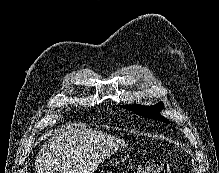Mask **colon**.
Returning a JSON list of instances; mask_svg holds the SVG:
<instances>
[{"instance_id":"5ec220e1","label":"colon","mask_w":219,"mask_h":173,"mask_svg":"<svg viewBox=\"0 0 219 173\" xmlns=\"http://www.w3.org/2000/svg\"><path fill=\"white\" fill-rule=\"evenodd\" d=\"M123 173H171V170L164 162L150 161L143 165L131 167Z\"/></svg>"}]
</instances>
